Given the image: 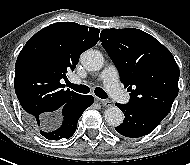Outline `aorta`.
Returning <instances> with one entry per match:
<instances>
[{
  "mask_svg": "<svg viewBox=\"0 0 190 165\" xmlns=\"http://www.w3.org/2000/svg\"><path fill=\"white\" fill-rule=\"evenodd\" d=\"M81 63L89 71H98L103 67L104 58L99 51L89 49L81 55ZM104 118L109 125L119 126L124 115L118 107L112 106L105 110Z\"/></svg>",
  "mask_w": 190,
  "mask_h": 165,
  "instance_id": "762f6f07",
  "label": "aorta"
}]
</instances>
